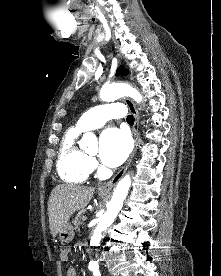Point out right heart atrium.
<instances>
[{
  "label": "right heart atrium",
  "instance_id": "1",
  "mask_svg": "<svg viewBox=\"0 0 221 276\" xmlns=\"http://www.w3.org/2000/svg\"><path fill=\"white\" fill-rule=\"evenodd\" d=\"M89 164H90L91 170H93L97 166V163L94 158H89Z\"/></svg>",
  "mask_w": 221,
  "mask_h": 276
}]
</instances>
